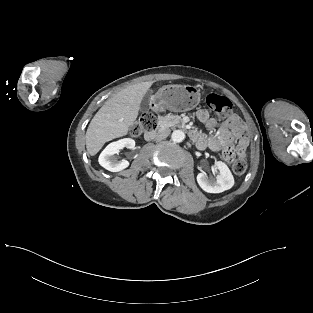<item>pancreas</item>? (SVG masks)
<instances>
[{"mask_svg": "<svg viewBox=\"0 0 313 313\" xmlns=\"http://www.w3.org/2000/svg\"><path fill=\"white\" fill-rule=\"evenodd\" d=\"M158 124L162 127L169 128V127H181L184 126V123L180 116L167 114L158 118Z\"/></svg>", "mask_w": 313, "mask_h": 313, "instance_id": "pancreas-1", "label": "pancreas"}]
</instances>
